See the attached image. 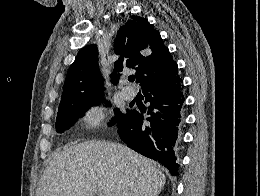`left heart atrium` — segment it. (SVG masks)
Listing matches in <instances>:
<instances>
[{"label": "left heart atrium", "mask_w": 260, "mask_h": 196, "mask_svg": "<svg viewBox=\"0 0 260 196\" xmlns=\"http://www.w3.org/2000/svg\"><path fill=\"white\" fill-rule=\"evenodd\" d=\"M110 192H120V190H111Z\"/></svg>", "instance_id": "obj_1"}]
</instances>
